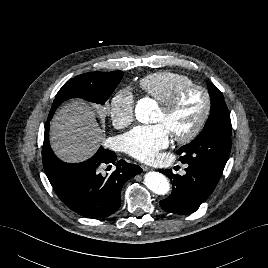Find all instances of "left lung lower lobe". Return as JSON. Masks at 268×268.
<instances>
[{"instance_id":"left-lung-lower-lobe-1","label":"left lung lower lobe","mask_w":268,"mask_h":268,"mask_svg":"<svg viewBox=\"0 0 268 268\" xmlns=\"http://www.w3.org/2000/svg\"><path fill=\"white\" fill-rule=\"evenodd\" d=\"M183 176L174 175L170 169L160 170L172 182V193L160 201V206L167 212L190 214L195 212L200 204L213 192L220 176L210 169L188 165Z\"/></svg>"}]
</instances>
